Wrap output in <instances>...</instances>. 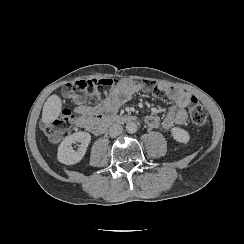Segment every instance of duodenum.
<instances>
[{
	"instance_id": "duodenum-1",
	"label": "duodenum",
	"mask_w": 244,
	"mask_h": 244,
	"mask_svg": "<svg viewBox=\"0 0 244 244\" xmlns=\"http://www.w3.org/2000/svg\"><path fill=\"white\" fill-rule=\"evenodd\" d=\"M137 119H138V117L135 115H131V116H110V117L105 119L104 126L101 128V131H103V133H104L108 126L122 124V123L135 122V121H137Z\"/></svg>"
}]
</instances>
